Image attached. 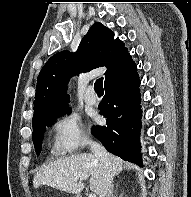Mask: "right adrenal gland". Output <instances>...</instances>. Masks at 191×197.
<instances>
[{"label": "right adrenal gland", "instance_id": "obj_1", "mask_svg": "<svg viewBox=\"0 0 191 197\" xmlns=\"http://www.w3.org/2000/svg\"><path fill=\"white\" fill-rule=\"evenodd\" d=\"M113 190H114V185H112V187H111V191H110L109 197H115V195L113 194Z\"/></svg>", "mask_w": 191, "mask_h": 197}]
</instances>
